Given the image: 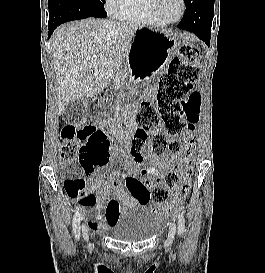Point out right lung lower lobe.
<instances>
[{"instance_id":"right-lung-lower-lobe-1","label":"right lung lower lobe","mask_w":265,"mask_h":273,"mask_svg":"<svg viewBox=\"0 0 265 273\" xmlns=\"http://www.w3.org/2000/svg\"><path fill=\"white\" fill-rule=\"evenodd\" d=\"M57 26H48V29H49V33H48V37L51 36V34L53 33V31L55 30Z\"/></svg>"}]
</instances>
